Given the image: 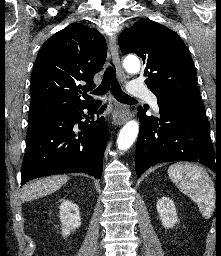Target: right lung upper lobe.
Returning a JSON list of instances; mask_svg holds the SVG:
<instances>
[{
	"label": "right lung upper lobe",
	"mask_w": 221,
	"mask_h": 256,
	"mask_svg": "<svg viewBox=\"0 0 221 256\" xmlns=\"http://www.w3.org/2000/svg\"><path fill=\"white\" fill-rule=\"evenodd\" d=\"M106 41L96 29L81 23L67 26L40 49L31 74L30 115L44 119L92 101L94 75L106 59ZM80 81L86 82L81 86ZM85 100L80 99V93Z\"/></svg>",
	"instance_id": "obj_1"
}]
</instances>
